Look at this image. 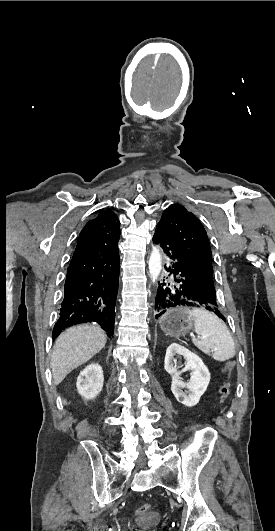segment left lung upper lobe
<instances>
[{"mask_svg": "<svg viewBox=\"0 0 275 531\" xmlns=\"http://www.w3.org/2000/svg\"><path fill=\"white\" fill-rule=\"evenodd\" d=\"M158 225L163 227L178 249L197 291L215 303L212 253L207 233L199 219L183 206L172 204L163 212Z\"/></svg>", "mask_w": 275, "mask_h": 531, "instance_id": "1", "label": "left lung upper lobe"}]
</instances>
